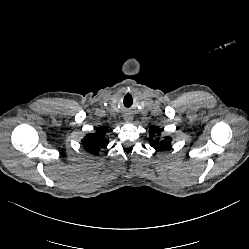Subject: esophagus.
Segmentation results:
<instances>
[{
  "label": "esophagus",
  "mask_w": 249,
  "mask_h": 249,
  "mask_svg": "<svg viewBox=\"0 0 249 249\" xmlns=\"http://www.w3.org/2000/svg\"><path fill=\"white\" fill-rule=\"evenodd\" d=\"M124 119L126 122H131L133 120L131 116H125Z\"/></svg>",
  "instance_id": "obj_1"
}]
</instances>
